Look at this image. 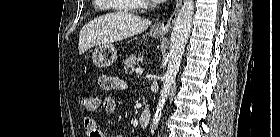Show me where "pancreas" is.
<instances>
[{"label":"pancreas","mask_w":280,"mask_h":137,"mask_svg":"<svg viewBox=\"0 0 280 137\" xmlns=\"http://www.w3.org/2000/svg\"><path fill=\"white\" fill-rule=\"evenodd\" d=\"M138 66L137 58L131 55L124 60V70L126 73H132Z\"/></svg>","instance_id":"cf45deb5"}]
</instances>
